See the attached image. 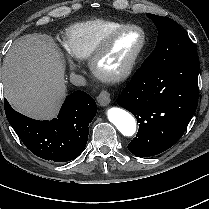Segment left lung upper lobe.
<instances>
[{"mask_svg": "<svg viewBox=\"0 0 209 209\" xmlns=\"http://www.w3.org/2000/svg\"><path fill=\"white\" fill-rule=\"evenodd\" d=\"M158 29V40L154 51L141 67L153 71L162 70L187 58L197 55L191 39L174 20L154 14H147Z\"/></svg>", "mask_w": 209, "mask_h": 209, "instance_id": "5c2ea615", "label": "left lung upper lobe"}]
</instances>
